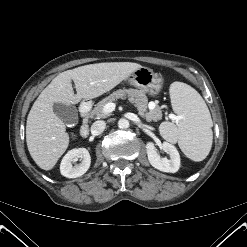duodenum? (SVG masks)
<instances>
[{
  "mask_svg": "<svg viewBox=\"0 0 247 247\" xmlns=\"http://www.w3.org/2000/svg\"><path fill=\"white\" fill-rule=\"evenodd\" d=\"M91 110V105L87 102L82 103L80 106V115H81V126H80V135L84 138L89 135V113Z\"/></svg>",
  "mask_w": 247,
  "mask_h": 247,
  "instance_id": "obj_1",
  "label": "duodenum"
}]
</instances>
